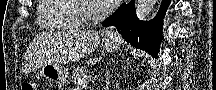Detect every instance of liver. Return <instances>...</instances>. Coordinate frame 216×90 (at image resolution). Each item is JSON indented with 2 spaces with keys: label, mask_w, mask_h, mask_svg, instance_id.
I'll return each mask as SVG.
<instances>
[{
  "label": "liver",
  "mask_w": 216,
  "mask_h": 90,
  "mask_svg": "<svg viewBox=\"0 0 216 90\" xmlns=\"http://www.w3.org/2000/svg\"><path fill=\"white\" fill-rule=\"evenodd\" d=\"M100 36L92 30H70L65 32V46H67L68 62H76L85 54H90L97 48Z\"/></svg>",
  "instance_id": "6515ba94"
}]
</instances>
